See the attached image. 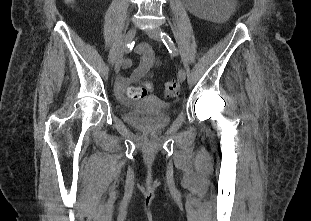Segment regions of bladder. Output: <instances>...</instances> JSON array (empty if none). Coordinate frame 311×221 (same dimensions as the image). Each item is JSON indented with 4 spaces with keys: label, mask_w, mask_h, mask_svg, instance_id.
Returning a JSON list of instances; mask_svg holds the SVG:
<instances>
[{
    "label": "bladder",
    "mask_w": 311,
    "mask_h": 221,
    "mask_svg": "<svg viewBox=\"0 0 311 221\" xmlns=\"http://www.w3.org/2000/svg\"><path fill=\"white\" fill-rule=\"evenodd\" d=\"M128 115L126 124L136 128L142 134H154L165 130L171 122L168 112L171 104L157 99L153 95L137 102H126Z\"/></svg>",
    "instance_id": "obj_1"
}]
</instances>
